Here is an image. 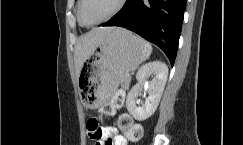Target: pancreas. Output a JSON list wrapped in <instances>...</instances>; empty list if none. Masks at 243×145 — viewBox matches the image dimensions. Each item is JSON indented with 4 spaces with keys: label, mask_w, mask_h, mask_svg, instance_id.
Masks as SVG:
<instances>
[{
    "label": "pancreas",
    "mask_w": 243,
    "mask_h": 145,
    "mask_svg": "<svg viewBox=\"0 0 243 145\" xmlns=\"http://www.w3.org/2000/svg\"><path fill=\"white\" fill-rule=\"evenodd\" d=\"M120 83L123 87H126L130 83V76L124 74L120 79Z\"/></svg>",
    "instance_id": "cf45deb5"
}]
</instances>
